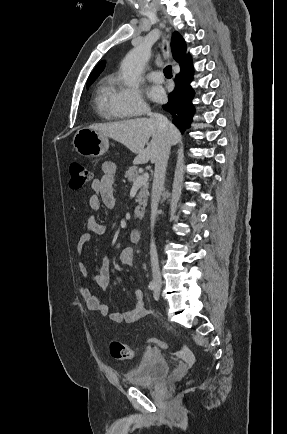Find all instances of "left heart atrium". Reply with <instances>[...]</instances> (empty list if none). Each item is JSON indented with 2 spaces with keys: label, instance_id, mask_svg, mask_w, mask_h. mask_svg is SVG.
Returning a JSON list of instances; mask_svg holds the SVG:
<instances>
[{
  "label": "left heart atrium",
  "instance_id": "39dd6f15",
  "mask_svg": "<svg viewBox=\"0 0 287 434\" xmlns=\"http://www.w3.org/2000/svg\"><path fill=\"white\" fill-rule=\"evenodd\" d=\"M148 94H149L150 98L153 99L154 101H160L164 98V91L159 86L151 87L149 89Z\"/></svg>",
  "mask_w": 287,
  "mask_h": 434
}]
</instances>
